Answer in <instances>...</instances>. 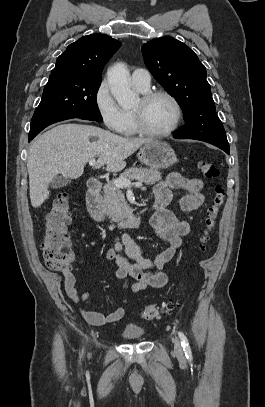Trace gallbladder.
<instances>
[{
  "instance_id": "obj_1",
  "label": "gallbladder",
  "mask_w": 265,
  "mask_h": 407,
  "mask_svg": "<svg viewBox=\"0 0 265 407\" xmlns=\"http://www.w3.org/2000/svg\"><path fill=\"white\" fill-rule=\"evenodd\" d=\"M70 182L69 179L59 176L55 177L52 182L50 183L51 188H62L67 186V184Z\"/></svg>"
}]
</instances>
